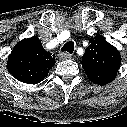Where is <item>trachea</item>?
<instances>
[{"instance_id": "trachea-1", "label": "trachea", "mask_w": 127, "mask_h": 127, "mask_svg": "<svg viewBox=\"0 0 127 127\" xmlns=\"http://www.w3.org/2000/svg\"><path fill=\"white\" fill-rule=\"evenodd\" d=\"M62 51H66L68 53H73L74 51V42L73 41H69L66 44H64L61 48Z\"/></svg>"}]
</instances>
